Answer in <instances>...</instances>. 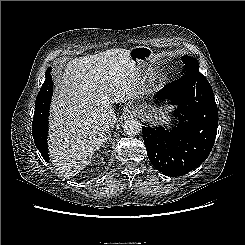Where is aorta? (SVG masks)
<instances>
[{"label": "aorta", "mask_w": 245, "mask_h": 245, "mask_svg": "<svg viewBox=\"0 0 245 245\" xmlns=\"http://www.w3.org/2000/svg\"><path fill=\"white\" fill-rule=\"evenodd\" d=\"M141 123L135 118H129L124 121L123 131L128 136H135L141 132Z\"/></svg>", "instance_id": "aorta-1"}]
</instances>
